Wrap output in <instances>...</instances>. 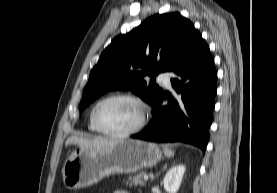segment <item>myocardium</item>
<instances>
[{
  "mask_svg": "<svg viewBox=\"0 0 277 193\" xmlns=\"http://www.w3.org/2000/svg\"><path fill=\"white\" fill-rule=\"evenodd\" d=\"M115 99H126V100H130L135 102L141 109V117L139 122L131 129L125 130V131H121V132H112V131H108L106 129H104L98 122L97 120V110L99 108V106L107 101L110 100H115ZM149 114H150V109L148 104L146 103L145 100H143L141 97L131 94V93H117V94H112L109 96H106L102 99H100L98 102L95 103V105L93 106L92 110H91V121L94 125V127L97 129L98 132L110 136V137H116V138H125V137H129L131 135H134L138 132H140L146 125L148 118H149Z\"/></svg>",
  "mask_w": 277,
  "mask_h": 193,
  "instance_id": "f54148a6",
  "label": "myocardium"
}]
</instances>
